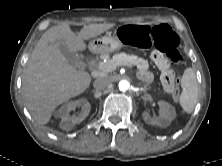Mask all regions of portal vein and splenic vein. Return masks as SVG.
I'll return each mask as SVG.
<instances>
[{
	"instance_id": "portal-vein-and-splenic-vein-1",
	"label": "portal vein and splenic vein",
	"mask_w": 222,
	"mask_h": 166,
	"mask_svg": "<svg viewBox=\"0 0 222 166\" xmlns=\"http://www.w3.org/2000/svg\"><path fill=\"white\" fill-rule=\"evenodd\" d=\"M117 66H128V67L132 68V66L129 65V64H127V63H117V65L111 66L109 69H110V70H115ZM99 68L101 69V66H100V65H99Z\"/></svg>"
}]
</instances>
